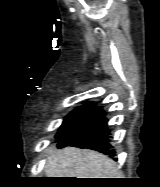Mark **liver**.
I'll use <instances>...</instances> for the list:
<instances>
[{
  "instance_id": "6515ba94",
  "label": "liver",
  "mask_w": 160,
  "mask_h": 187,
  "mask_svg": "<svg viewBox=\"0 0 160 187\" xmlns=\"http://www.w3.org/2000/svg\"><path fill=\"white\" fill-rule=\"evenodd\" d=\"M48 178H117L116 163L93 150L67 147L48 152L45 166Z\"/></svg>"
}]
</instances>
